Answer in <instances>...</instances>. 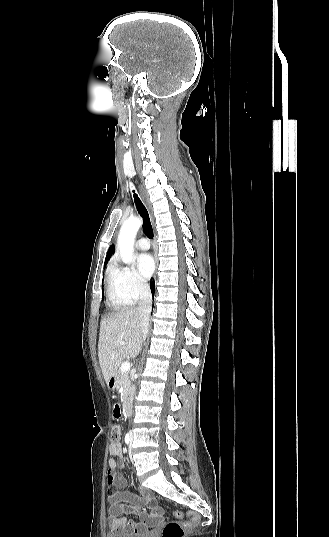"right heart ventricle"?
I'll use <instances>...</instances> for the list:
<instances>
[{
    "label": "right heart ventricle",
    "mask_w": 329,
    "mask_h": 537,
    "mask_svg": "<svg viewBox=\"0 0 329 537\" xmlns=\"http://www.w3.org/2000/svg\"><path fill=\"white\" fill-rule=\"evenodd\" d=\"M107 298L109 305L113 309H121L132 303L125 299L116 289L112 271H110L107 278Z\"/></svg>",
    "instance_id": "obj_1"
}]
</instances>
